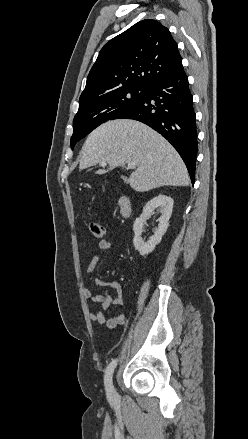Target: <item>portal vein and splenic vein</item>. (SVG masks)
Returning a JSON list of instances; mask_svg holds the SVG:
<instances>
[{
    "label": "portal vein and splenic vein",
    "mask_w": 248,
    "mask_h": 439,
    "mask_svg": "<svg viewBox=\"0 0 248 439\" xmlns=\"http://www.w3.org/2000/svg\"><path fill=\"white\" fill-rule=\"evenodd\" d=\"M100 165L102 166V167H105L106 165H107V163L106 162H101L100 163ZM128 168L129 169H134V168H136V164L135 163H128Z\"/></svg>",
    "instance_id": "portal-vein-and-splenic-vein-1"
}]
</instances>
